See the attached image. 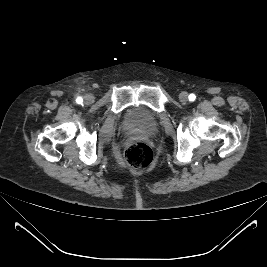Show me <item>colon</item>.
Segmentation results:
<instances>
[{
    "mask_svg": "<svg viewBox=\"0 0 267 267\" xmlns=\"http://www.w3.org/2000/svg\"><path fill=\"white\" fill-rule=\"evenodd\" d=\"M123 161L126 166L131 168H146L153 161V151L146 143L133 141L126 146Z\"/></svg>",
    "mask_w": 267,
    "mask_h": 267,
    "instance_id": "obj_1",
    "label": "colon"
}]
</instances>
